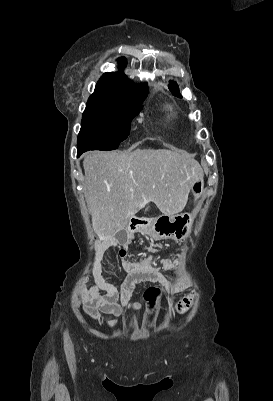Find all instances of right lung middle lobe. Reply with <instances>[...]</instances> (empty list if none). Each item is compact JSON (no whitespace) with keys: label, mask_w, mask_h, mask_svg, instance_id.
Returning <instances> with one entry per match:
<instances>
[{"label":"right lung middle lobe","mask_w":273,"mask_h":401,"mask_svg":"<svg viewBox=\"0 0 273 401\" xmlns=\"http://www.w3.org/2000/svg\"><path fill=\"white\" fill-rule=\"evenodd\" d=\"M140 109L88 100L78 135V151L117 149L128 137L130 123Z\"/></svg>","instance_id":"1"}]
</instances>
